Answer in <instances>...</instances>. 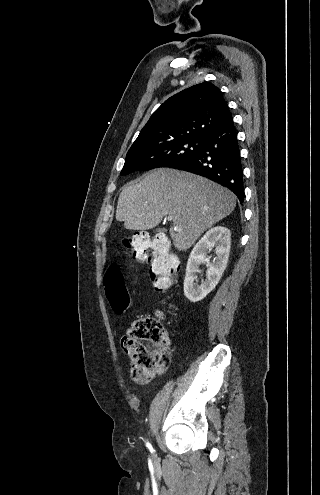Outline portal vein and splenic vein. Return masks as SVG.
Wrapping results in <instances>:
<instances>
[{
	"mask_svg": "<svg viewBox=\"0 0 320 495\" xmlns=\"http://www.w3.org/2000/svg\"><path fill=\"white\" fill-rule=\"evenodd\" d=\"M167 219H168L169 221H171V220H172V216H170V215H169V216L167 217Z\"/></svg>",
	"mask_w": 320,
	"mask_h": 495,
	"instance_id": "portal-vein-and-splenic-vein-1",
	"label": "portal vein and splenic vein"
}]
</instances>
